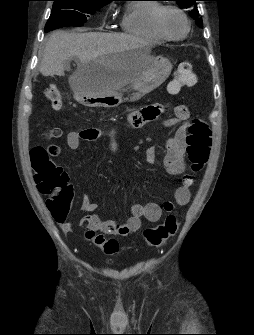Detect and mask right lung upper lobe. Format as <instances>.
<instances>
[{"label":"right lung upper lobe","mask_w":254,"mask_h":335,"mask_svg":"<svg viewBox=\"0 0 254 335\" xmlns=\"http://www.w3.org/2000/svg\"><path fill=\"white\" fill-rule=\"evenodd\" d=\"M99 1H106V2H110V1H113V0H99Z\"/></svg>","instance_id":"1"}]
</instances>
